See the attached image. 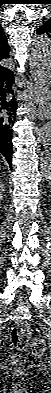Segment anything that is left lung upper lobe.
<instances>
[{"label":"left lung upper lobe","mask_w":51,"mask_h":393,"mask_svg":"<svg viewBox=\"0 0 51 393\" xmlns=\"http://www.w3.org/2000/svg\"><path fill=\"white\" fill-rule=\"evenodd\" d=\"M37 34H46L51 37V19L43 22L37 29Z\"/></svg>","instance_id":"1"}]
</instances>
